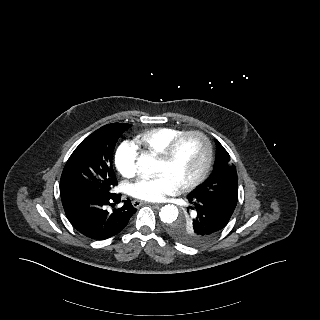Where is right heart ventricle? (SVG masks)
I'll return each instance as SVG.
<instances>
[{"instance_id":"obj_1","label":"right heart ventricle","mask_w":320,"mask_h":320,"mask_svg":"<svg viewBox=\"0 0 320 320\" xmlns=\"http://www.w3.org/2000/svg\"><path fill=\"white\" fill-rule=\"evenodd\" d=\"M184 131L173 127H159L136 136V147L145 153L160 155L167 145Z\"/></svg>"}]
</instances>
